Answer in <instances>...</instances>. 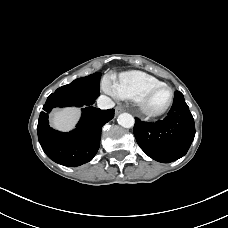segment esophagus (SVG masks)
<instances>
[{
  "mask_svg": "<svg viewBox=\"0 0 228 228\" xmlns=\"http://www.w3.org/2000/svg\"><path fill=\"white\" fill-rule=\"evenodd\" d=\"M123 111L121 107H116V114H120Z\"/></svg>",
  "mask_w": 228,
  "mask_h": 228,
  "instance_id": "1",
  "label": "esophagus"
}]
</instances>
